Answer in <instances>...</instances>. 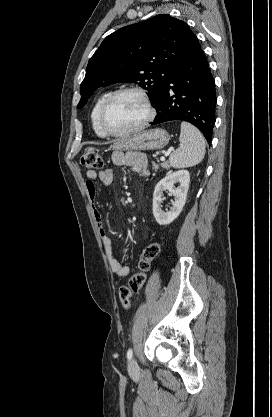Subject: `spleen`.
<instances>
[{"instance_id":"obj_1","label":"spleen","mask_w":272,"mask_h":417,"mask_svg":"<svg viewBox=\"0 0 272 417\" xmlns=\"http://www.w3.org/2000/svg\"><path fill=\"white\" fill-rule=\"evenodd\" d=\"M180 147L173 151L169 163L174 168H186L199 164L205 156V140L201 132L187 122L181 123Z\"/></svg>"}]
</instances>
